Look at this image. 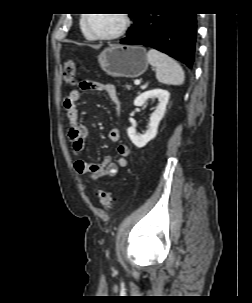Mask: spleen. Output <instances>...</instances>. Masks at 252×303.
Listing matches in <instances>:
<instances>
[{
    "label": "spleen",
    "instance_id": "obj_1",
    "mask_svg": "<svg viewBox=\"0 0 252 303\" xmlns=\"http://www.w3.org/2000/svg\"><path fill=\"white\" fill-rule=\"evenodd\" d=\"M148 62L156 70V78L160 83L167 85H182L185 79L182 67L168 55L155 49L147 53Z\"/></svg>",
    "mask_w": 252,
    "mask_h": 303
}]
</instances>
